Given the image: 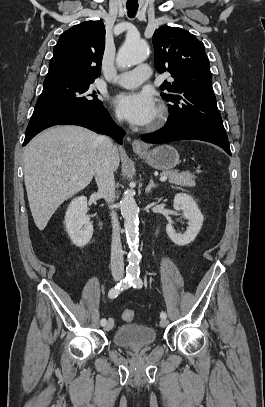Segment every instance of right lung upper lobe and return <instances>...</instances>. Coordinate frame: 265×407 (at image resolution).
I'll return each instance as SVG.
<instances>
[{
    "instance_id": "obj_1",
    "label": "right lung upper lobe",
    "mask_w": 265,
    "mask_h": 407,
    "mask_svg": "<svg viewBox=\"0 0 265 407\" xmlns=\"http://www.w3.org/2000/svg\"><path fill=\"white\" fill-rule=\"evenodd\" d=\"M105 48V27L101 21H86L64 32L49 64L46 79L94 80L100 75Z\"/></svg>"
}]
</instances>
